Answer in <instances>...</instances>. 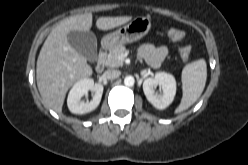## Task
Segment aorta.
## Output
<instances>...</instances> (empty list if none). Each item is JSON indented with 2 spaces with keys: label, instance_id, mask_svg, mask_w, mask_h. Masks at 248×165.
Instances as JSON below:
<instances>
[{
  "label": "aorta",
  "instance_id": "aorta-1",
  "mask_svg": "<svg viewBox=\"0 0 248 165\" xmlns=\"http://www.w3.org/2000/svg\"><path fill=\"white\" fill-rule=\"evenodd\" d=\"M135 83V79L133 76H126L124 79V84L128 87L133 86Z\"/></svg>",
  "mask_w": 248,
  "mask_h": 165
}]
</instances>
